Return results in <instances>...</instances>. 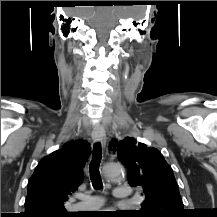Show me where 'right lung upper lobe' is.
Masks as SVG:
<instances>
[{"instance_id":"right-lung-upper-lobe-1","label":"right lung upper lobe","mask_w":217,"mask_h":217,"mask_svg":"<svg viewBox=\"0 0 217 217\" xmlns=\"http://www.w3.org/2000/svg\"><path fill=\"white\" fill-rule=\"evenodd\" d=\"M90 152L87 141L79 139L43 158L28 182L23 217L72 216L64 203L83 182L82 167Z\"/></svg>"}]
</instances>
